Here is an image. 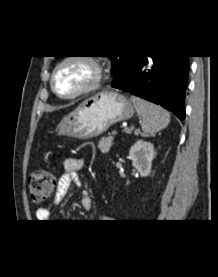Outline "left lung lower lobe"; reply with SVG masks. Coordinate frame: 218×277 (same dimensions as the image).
Segmentation results:
<instances>
[{
    "mask_svg": "<svg viewBox=\"0 0 218 277\" xmlns=\"http://www.w3.org/2000/svg\"><path fill=\"white\" fill-rule=\"evenodd\" d=\"M188 57L134 55L114 76L111 86L159 104L183 121Z\"/></svg>",
    "mask_w": 218,
    "mask_h": 277,
    "instance_id": "left-lung-lower-lobe-1",
    "label": "left lung lower lobe"
}]
</instances>
